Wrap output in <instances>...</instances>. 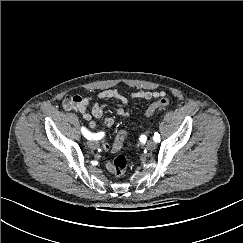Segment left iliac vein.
Segmentation results:
<instances>
[{
  "label": "left iliac vein",
  "mask_w": 243,
  "mask_h": 243,
  "mask_svg": "<svg viewBox=\"0 0 243 243\" xmlns=\"http://www.w3.org/2000/svg\"><path fill=\"white\" fill-rule=\"evenodd\" d=\"M147 148H148L149 150H154V149L156 148V143H155L153 140H149V141L147 142Z\"/></svg>",
  "instance_id": "4c4485c4"
}]
</instances>
